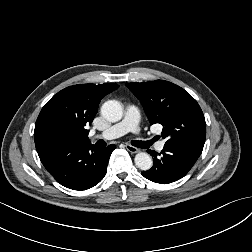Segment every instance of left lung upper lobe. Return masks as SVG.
Segmentation results:
<instances>
[{"mask_svg": "<svg viewBox=\"0 0 252 252\" xmlns=\"http://www.w3.org/2000/svg\"><path fill=\"white\" fill-rule=\"evenodd\" d=\"M126 86L140 100L150 124L163 126L165 146L185 145L203 150L205 118L197 101L183 88L164 80Z\"/></svg>", "mask_w": 252, "mask_h": 252, "instance_id": "left-lung-upper-lobe-1", "label": "left lung upper lobe"}]
</instances>
